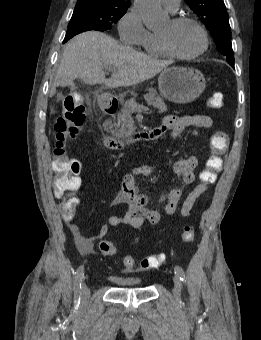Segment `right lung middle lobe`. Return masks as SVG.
<instances>
[{
	"label": "right lung middle lobe",
	"instance_id": "1",
	"mask_svg": "<svg viewBox=\"0 0 261 340\" xmlns=\"http://www.w3.org/2000/svg\"><path fill=\"white\" fill-rule=\"evenodd\" d=\"M125 5H107L98 3L76 4L68 29L84 27L105 31L111 29L127 11Z\"/></svg>",
	"mask_w": 261,
	"mask_h": 340
}]
</instances>
